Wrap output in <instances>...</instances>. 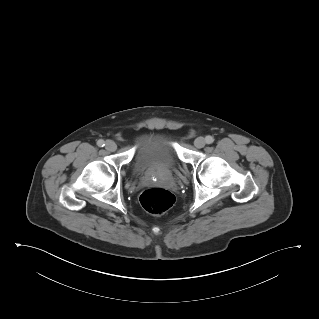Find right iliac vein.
Returning a JSON list of instances; mask_svg holds the SVG:
<instances>
[{"label":"right iliac vein","mask_w":319,"mask_h":319,"mask_svg":"<svg viewBox=\"0 0 319 319\" xmlns=\"http://www.w3.org/2000/svg\"><path fill=\"white\" fill-rule=\"evenodd\" d=\"M105 147L108 151H115L117 149L116 143L112 140L106 141Z\"/></svg>","instance_id":"obj_1"}]
</instances>
